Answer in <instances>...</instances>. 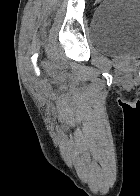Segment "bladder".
<instances>
[{"mask_svg": "<svg viewBox=\"0 0 140 196\" xmlns=\"http://www.w3.org/2000/svg\"><path fill=\"white\" fill-rule=\"evenodd\" d=\"M89 37L101 53L140 58V0H103L92 15Z\"/></svg>", "mask_w": 140, "mask_h": 196, "instance_id": "31cf9c89", "label": "bladder"}]
</instances>
